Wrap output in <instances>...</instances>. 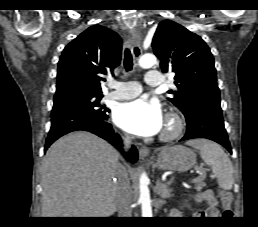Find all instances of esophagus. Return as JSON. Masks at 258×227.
<instances>
[{"mask_svg":"<svg viewBox=\"0 0 258 227\" xmlns=\"http://www.w3.org/2000/svg\"><path fill=\"white\" fill-rule=\"evenodd\" d=\"M140 41H141V36L136 32H132L131 36L129 37V43L132 47L133 54L136 58H138L141 54ZM149 154H150V149L148 147L142 146L140 148L139 155L141 159L146 158Z\"/></svg>","mask_w":258,"mask_h":227,"instance_id":"esophagus-1","label":"esophagus"}]
</instances>
